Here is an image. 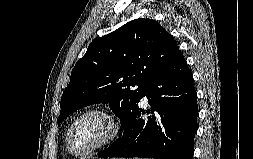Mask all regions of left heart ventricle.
Instances as JSON below:
<instances>
[{"instance_id": "obj_1", "label": "left heart ventricle", "mask_w": 253, "mask_h": 159, "mask_svg": "<svg viewBox=\"0 0 253 159\" xmlns=\"http://www.w3.org/2000/svg\"><path fill=\"white\" fill-rule=\"evenodd\" d=\"M110 132L107 118L92 113L81 118L74 127L71 146L76 152H85L101 142Z\"/></svg>"}]
</instances>
